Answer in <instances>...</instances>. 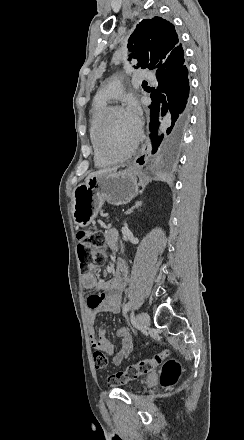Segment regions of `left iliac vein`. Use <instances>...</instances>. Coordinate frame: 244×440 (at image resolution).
<instances>
[{
  "instance_id": "1",
  "label": "left iliac vein",
  "mask_w": 244,
  "mask_h": 440,
  "mask_svg": "<svg viewBox=\"0 0 244 440\" xmlns=\"http://www.w3.org/2000/svg\"><path fill=\"white\" fill-rule=\"evenodd\" d=\"M136 321L138 326H140L143 329H146L150 323V317L147 313L141 312L137 315Z\"/></svg>"
}]
</instances>
